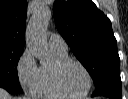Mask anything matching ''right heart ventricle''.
Returning a JSON list of instances; mask_svg holds the SVG:
<instances>
[{"mask_svg":"<svg viewBox=\"0 0 128 99\" xmlns=\"http://www.w3.org/2000/svg\"><path fill=\"white\" fill-rule=\"evenodd\" d=\"M52 61L38 68L37 79L31 90L32 95L40 99H64L56 88L54 82V69L62 61L68 58L67 53L51 50Z\"/></svg>","mask_w":128,"mask_h":99,"instance_id":"e07e8e85","label":"right heart ventricle"}]
</instances>
